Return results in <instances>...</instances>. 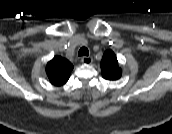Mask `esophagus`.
<instances>
[{"label":"esophagus","mask_w":172,"mask_h":134,"mask_svg":"<svg viewBox=\"0 0 172 134\" xmlns=\"http://www.w3.org/2000/svg\"><path fill=\"white\" fill-rule=\"evenodd\" d=\"M81 61H82V63H84V64H92L93 58L90 57V56H83V57L81 58Z\"/></svg>","instance_id":"esophagus-1"}]
</instances>
